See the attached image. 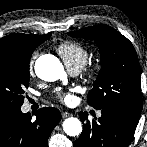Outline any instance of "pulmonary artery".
Wrapping results in <instances>:
<instances>
[{
    "instance_id": "1",
    "label": "pulmonary artery",
    "mask_w": 147,
    "mask_h": 147,
    "mask_svg": "<svg viewBox=\"0 0 147 147\" xmlns=\"http://www.w3.org/2000/svg\"><path fill=\"white\" fill-rule=\"evenodd\" d=\"M69 71L72 73V74H77L79 71H80V69L79 68H70L69 69ZM98 116H101V112H98V114H97Z\"/></svg>"
}]
</instances>
